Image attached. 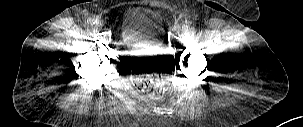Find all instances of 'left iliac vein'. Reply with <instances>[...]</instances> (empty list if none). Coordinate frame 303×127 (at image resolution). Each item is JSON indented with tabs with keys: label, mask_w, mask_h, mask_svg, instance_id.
<instances>
[{
	"label": "left iliac vein",
	"mask_w": 303,
	"mask_h": 127,
	"mask_svg": "<svg viewBox=\"0 0 303 127\" xmlns=\"http://www.w3.org/2000/svg\"><path fill=\"white\" fill-rule=\"evenodd\" d=\"M182 32L183 33H189L190 32V28L188 26H184V27H182Z\"/></svg>",
	"instance_id": "obj_1"
}]
</instances>
